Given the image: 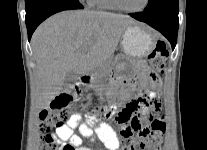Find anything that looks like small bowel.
<instances>
[{"label": "small bowel", "instance_id": "small-bowel-1", "mask_svg": "<svg viewBox=\"0 0 207 150\" xmlns=\"http://www.w3.org/2000/svg\"><path fill=\"white\" fill-rule=\"evenodd\" d=\"M142 70L144 72V78L148 79L150 72H147L145 67H142ZM135 86H138V84ZM156 97V99H159V94ZM110 98L111 104L114 107L124 102H131V100L128 101V97L124 93H112ZM125 108H129L133 112L138 111L136 109L137 107H127V104ZM75 130L78 131V134L74 133ZM49 136L58 139L63 144L70 145L73 150H92L82 145V138H88L92 141L94 136H96L100 143L108 150H119L120 147L118 134L109 123H96L94 119L81 122V116L79 114L70 115L67 122L56 128L55 132Z\"/></svg>", "mask_w": 207, "mask_h": 150}]
</instances>
